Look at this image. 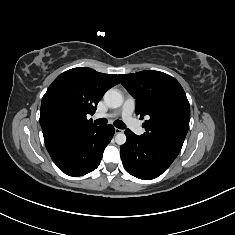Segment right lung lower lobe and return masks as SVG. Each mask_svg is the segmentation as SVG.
<instances>
[{"mask_svg": "<svg viewBox=\"0 0 235 235\" xmlns=\"http://www.w3.org/2000/svg\"><path fill=\"white\" fill-rule=\"evenodd\" d=\"M113 135L112 125L95 127L66 135L46 144V148L62 172L70 176H81L98 167L103 151Z\"/></svg>", "mask_w": 235, "mask_h": 235, "instance_id": "1", "label": "right lung lower lobe"}]
</instances>
